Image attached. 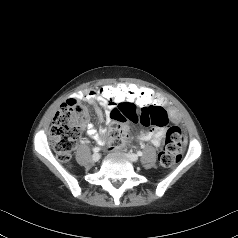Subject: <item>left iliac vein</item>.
Masks as SVG:
<instances>
[{
	"label": "left iliac vein",
	"instance_id": "obj_1",
	"mask_svg": "<svg viewBox=\"0 0 238 238\" xmlns=\"http://www.w3.org/2000/svg\"><path fill=\"white\" fill-rule=\"evenodd\" d=\"M127 158L131 162H137L138 161V156L136 154H133V153H127Z\"/></svg>",
	"mask_w": 238,
	"mask_h": 238
}]
</instances>
